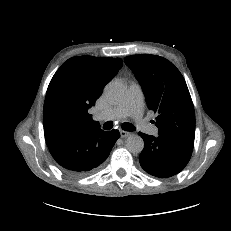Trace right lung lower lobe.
Masks as SVG:
<instances>
[{
  "label": "right lung lower lobe",
  "instance_id": "1",
  "mask_svg": "<svg viewBox=\"0 0 231 231\" xmlns=\"http://www.w3.org/2000/svg\"><path fill=\"white\" fill-rule=\"evenodd\" d=\"M119 137L117 130L103 131L94 128L45 139L51 155L63 172L81 177L99 168Z\"/></svg>",
  "mask_w": 231,
  "mask_h": 231
}]
</instances>
